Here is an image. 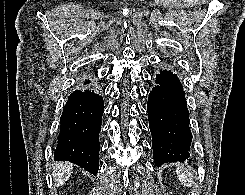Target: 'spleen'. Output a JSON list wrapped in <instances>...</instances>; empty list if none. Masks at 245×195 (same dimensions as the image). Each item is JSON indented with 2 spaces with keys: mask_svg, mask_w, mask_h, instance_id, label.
I'll list each match as a JSON object with an SVG mask.
<instances>
[{
  "mask_svg": "<svg viewBox=\"0 0 245 195\" xmlns=\"http://www.w3.org/2000/svg\"><path fill=\"white\" fill-rule=\"evenodd\" d=\"M176 173L178 179L185 187L189 188L193 185V173L190 171V168L179 167Z\"/></svg>",
  "mask_w": 245,
  "mask_h": 195,
  "instance_id": "obj_1",
  "label": "spleen"
}]
</instances>
